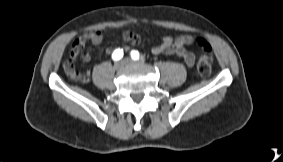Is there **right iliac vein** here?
<instances>
[{"instance_id": "right-iliac-vein-1", "label": "right iliac vein", "mask_w": 283, "mask_h": 162, "mask_svg": "<svg viewBox=\"0 0 283 162\" xmlns=\"http://www.w3.org/2000/svg\"><path fill=\"white\" fill-rule=\"evenodd\" d=\"M124 66H125V63L123 61H120V62H117L115 64V69L116 70H122L124 68Z\"/></svg>"}]
</instances>
